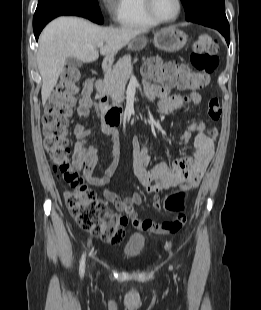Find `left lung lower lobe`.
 <instances>
[{"label":"left lung lower lobe","instance_id":"left-lung-lower-lobe-1","mask_svg":"<svg viewBox=\"0 0 261 310\" xmlns=\"http://www.w3.org/2000/svg\"><path fill=\"white\" fill-rule=\"evenodd\" d=\"M202 24L204 26H208L211 28H214L218 30L226 39L227 44L230 43V29L228 23H218V22H212V21H203Z\"/></svg>","mask_w":261,"mask_h":310}]
</instances>
